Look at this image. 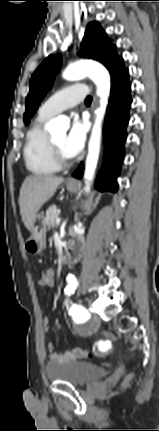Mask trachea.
<instances>
[{
  "label": "trachea",
  "mask_w": 159,
  "mask_h": 431,
  "mask_svg": "<svg viewBox=\"0 0 159 431\" xmlns=\"http://www.w3.org/2000/svg\"><path fill=\"white\" fill-rule=\"evenodd\" d=\"M91 101H92V97H91V96H88V97L86 98V100H85V102H86L87 104H90V103H91Z\"/></svg>",
  "instance_id": "obj_1"
}]
</instances>
